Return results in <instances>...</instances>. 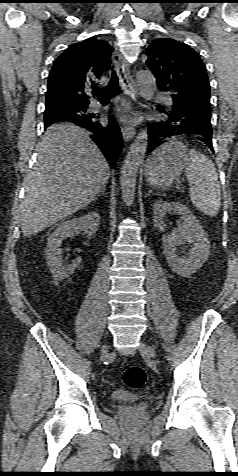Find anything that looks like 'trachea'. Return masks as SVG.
<instances>
[{
    "instance_id": "trachea-1",
    "label": "trachea",
    "mask_w": 238,
    "mask_h": 476,
    "mask_svg": "<svg viewBox=\"0 0 238 476\" xmlns=\"http://www.w3.org/2000/svg\"><path fill=\"white\" fill-rule=\"evenodd\" d=\"M119 90V77L117 76V73L113 70L108 86L101 91H95L94 94L98 97V100L100 102H106L115 97Z\"/></svg>"
}]
</instances>
